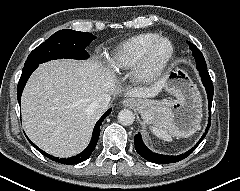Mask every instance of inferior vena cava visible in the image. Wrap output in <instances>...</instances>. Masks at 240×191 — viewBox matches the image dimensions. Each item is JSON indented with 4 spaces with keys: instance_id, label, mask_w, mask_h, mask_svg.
<instances>
[{
    "instance_id": "inferior-vena-cava-1",
    "label": "inferior vena cava",
    "mask_w": 240,
    "mask_h": 191,
    "mask_svg": "<svg viewBox=\"0 0 240 191\" xmlns=\"http://www.w3.org/2000/svg\"><path fill=\"white\" fill-rule=\"evenodd\" d=\"M110 100V94H102L92 103V107L102 113L107 109Z\"/></svg>"
}]
</instances>
